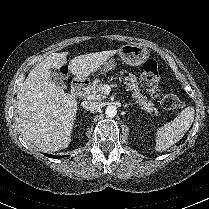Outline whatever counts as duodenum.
Listing matches in <instances>:
<instances>
[{"instance_id": "410a0bca", "label": "duodenum", "mask_w": 209, "mask_h": 209, "mask_svg": "<svg viewBox=\"0 0 209 209\" xmlns=\"http://www.w3.org/2000/svg\"><path fill=\"white\" fill-rule=\"evenodd\" d=\"M87 87V83L82 80H76L72 84V94L74 96H81Z\"/></svg>"}]
</instances>
